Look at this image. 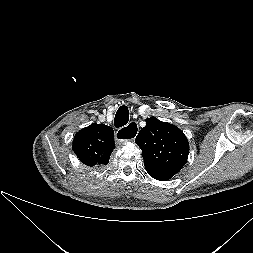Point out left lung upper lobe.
I'll use <instances>...</instances> for the list:
<instances>
[{"label": "left lung upper lobe", "mask_w": 253, "mask_h": 253, "mask_svg": "<svg viewBox=\"0 0 253 253\" xmlns=\"http://www.w3.org/2000/svg\"><path fill=\"white\" fill-rule=\"evenodd\" d=\"M135 142L142 150L146 171L157 180L171 179L187 162L189 143L186 136L175 125L155 117L146 119V126Z\"/></svg>", "instance_id": "obj_1"}]
</instances>
